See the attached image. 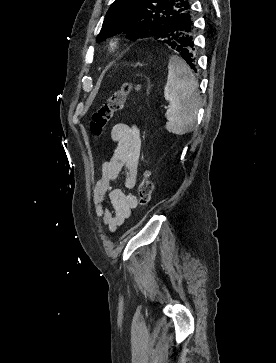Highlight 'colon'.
<instances>
[{
  "label": "colon",
  "mask_w": 276,
  "mask_h": 363,
  "mask_svg": "<svg viewBox=\"0 0 276 363\" xmlns=\"http://www.w3.org/2000/svg\"><path fill=\"white\" fill-rule=\"evenodd\" d=\"M133 89L129 83L124 84L115 90L107 99L105 104L101 106L92 116L90 128L95 136H99L104 127L111 121L113 115L124 109L127 103L128 94ZM153 182L150 173L145 171L142 175L138 186V201L141 206H147L152 198Z\"/></svg>",
  "instance_id": "5ec220e1"
}]
</instances>
